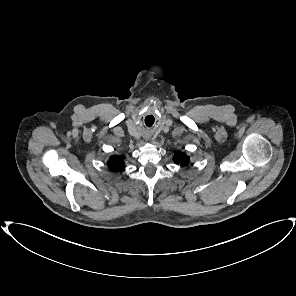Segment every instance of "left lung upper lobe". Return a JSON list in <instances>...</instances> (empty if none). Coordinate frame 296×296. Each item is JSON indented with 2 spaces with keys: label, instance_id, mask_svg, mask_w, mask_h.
I'll return each mask as SVG.
<instances>
[{
  "label": "left lung upper lobe",
  "instance_id": "1",
  "mask_svg": "<svg viewBox=\"0 0 296 296\" xmlns=\"http://www.w3.org/2000/svg\"><path fill=\"white\" fill-rule=\"evenodd\" d=\"M174 161L181 166H187L189 163V157L182 152H176L174 155Z\"/></svg>",
  "mask_w": 296,
  "mask_h": 296
}]
</instances>
